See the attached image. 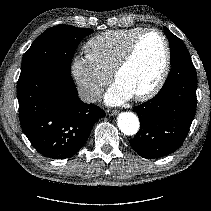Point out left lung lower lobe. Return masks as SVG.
Masks as SVG:
<instances>
[{
	"label": "left lung lower lobe",
	"mask_w": 211,
	"mask_h": 211,
	"mask_svg": "<svg viewBox=\"0 0 211 211\" xmlns=\"http://www.w3.org/2000/svg\"><path fill=\"white\" fill-rule=\"evenodd\" d=\"M197 75L191 57L171 65L159 93L134 107L140 130L130 142L143 158L154 159L176 151L184 142L197 105Z\"/></svg>",
	"instance_id": "obj_1"
}]
</instances>
